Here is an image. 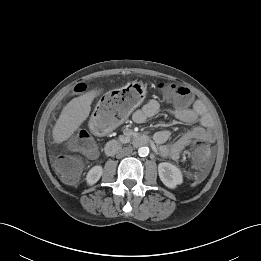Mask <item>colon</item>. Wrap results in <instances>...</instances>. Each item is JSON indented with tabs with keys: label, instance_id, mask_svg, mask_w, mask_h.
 I'll use <instances>...</instances> for the list:
<instances>
[{
	"label": "colon",
	"instance_id": "colon-1",
	"mask_svg": "<svg viewBox=\"0 0 261 261\" xmlns=\"http://www.w3.org/2000/svg\"><path fill=\"white\" fill-rule=\"evenodd\" d=\"M159 90L164 98L184 108L191 102L190 90L181 84L160 83ZM85 88L81 85L75 87L76 92H82ZM102 120L97 125L105 130L124 119L128 106L126 104L125 94L118 92L112 93L104 98L102 104ZM68 147L73 152L81 153L91 157L97 151V145L88 130L82 129L68 141ZM209 157L208 148L203 144H197L191 152L192 164L199 169L201 173L207 168ZM54 166L63 181L67 184L75 183L83 169L82 159L74 154L59 155L55 158Z\"/></svg>",
	"mask_w": 261,
	"mask_h": 261
}]
</instances>
